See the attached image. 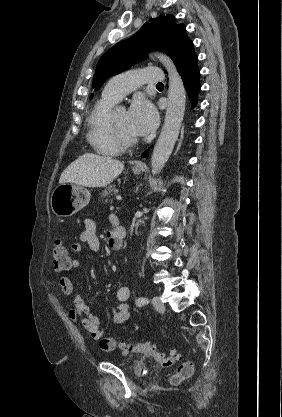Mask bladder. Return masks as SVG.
I'll use <instances>...</instances> for the list:
<instances>
[{
    "label": "bladder",
    "mask_w": 282,
    "mask_h": 417,
    "mask_svg": "<svg viewBox=\"0 0 282 417\" xmlns=\"http://www.w3.org/2000/svg\"><path fill=\"white\" fill-rule=\"evenodd\" d=\"M128 369L135 376H142L145 374L147 367L143 361L134 360L128 363Z\"/></svg>",
    "instance_id": "bladder-1"
}]
</instances>
